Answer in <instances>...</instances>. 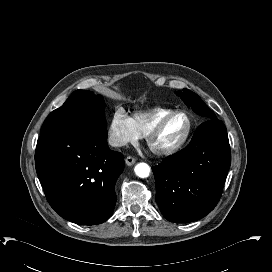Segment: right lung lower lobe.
Returning a JSON list of instances; mask_svg holds the SVG:
<instances>
[{
  "instance_id": "obj_1",
  "label": "right lung lower lobe",
  "mask_w": 272,
  "mask_h": 272,
  "mask_svg": "<svg viewBox=\"0 0 272 272\" xmlns=\"http://www.w3.org/2000/svg\"><path fill=\"white\" fill-rule=\"evenodd\" d=\"M107 134L103 123L82 121L52 128L37 141L38 178L51 207L68 221L96 225L113 213L124 157L109 149Z\"/></svg>"
}]
</instances>
